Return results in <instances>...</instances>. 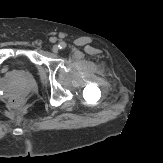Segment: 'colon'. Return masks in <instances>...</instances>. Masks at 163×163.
Segmentation results:
<instances>
[{"instance_id":"colon-1","label":"colon","mask_w":163,"mask_h":163,"mask_svg":"<svg viewBox=\"0 0 163 163\" xmlns=\"http://www.w3.org/2000/svg\"><path fill=\"white\" fill-rule=\"evenodd\" d=\"M10 103H11L12 107H18L20 105L21 101L19 98H13Z\"/></svg>"}]
</instances>
